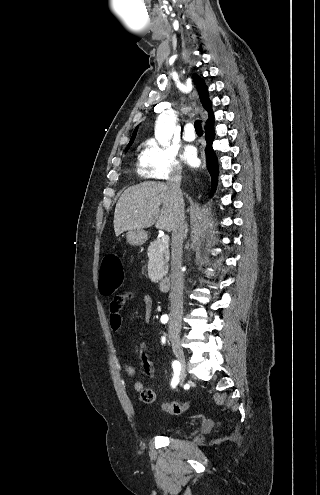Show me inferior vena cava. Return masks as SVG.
<instances>
[{"mask_svg": "<svg viewBox=\"0 0 320 495\" xmlns=\"http://www.w3.org/2000/svg\"><path fill=\"white\" fill-rule=\"evenodd\" d=\"M181 170L173 171L167 185L177 202L176 215L172 228L171 243V292H170V332L179 331L183 315V285L184 277L181 271L182 245L184 237V204L180 190Z\"/></svg>", "mask_w": 320, "mask_h": 495, "instance_id": "obj_1", "label": "inferior vena cava"}]
</instances>
